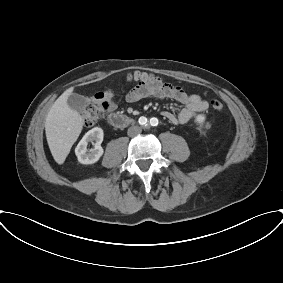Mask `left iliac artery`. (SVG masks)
Instances as JSON below:
<instances>
[{"label":"left iliac artery","instance_id":"44dca946","mask_svg":"<svg viewBox=\"0 0 283 283\" xmlns=\"http://www.w3.org/2000/svg\"><path fill=\"white\" fill-rule=\"evenodd\" d=\"M150 124H151L152 126H156V125L158 124V119H157V118H151V119H150Z\"/></svg>","mask_w":283,"mask_h":283}]
</instances>
